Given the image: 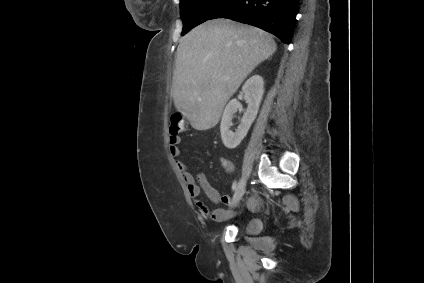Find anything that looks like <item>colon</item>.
<instances>
[{"mask_svg": "<svg viewBox=\"0 0 424 283\" xmlns=\"http://www.w3.org/2000/svg\"><path fill=\"white\" fill-rule=\"evenodd\" d=\"M187 123L181 112H174L170 116V133L177 135L186 130Z\"/></svg>", "mask_w": 424, "mask_h": 283, "instance_id": "5ec220e1", "label": "colon"}]
</instances>
